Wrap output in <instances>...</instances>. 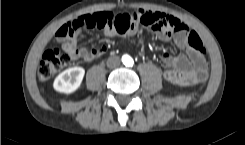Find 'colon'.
<instances>
[{
    "mask_svg": "<svg viewBox=\"0 0 245 145\" xmlns=\"http://www.w3.org/2000/svg\"><path fill=\"white\" fill-rule=\"evenodd\" d=\"M88 28L96 27L100 30L126 33L136 26L166 28L174 33H182L186 30L185 25L178 19L166 14L139 10L134 14L120 13L115 18H109L106 14H94L87 17ZM79 28V19L74 18L65 23L58 32L60 38L72 35ZM189 45L195 50L202 52L204 44L196 33L188 36ZM69 57L60 48H48L40 61L38 75L40 79L51 78L61 67L68 65Z\"/></svg>",
    "mask_w": 245,
    "mask_h": 145,
    "instance_id": "1",
    "label": "colon"
}]
</instances>
